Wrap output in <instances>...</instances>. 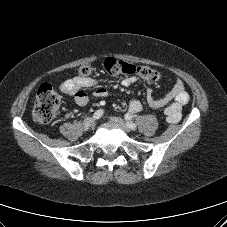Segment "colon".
<instances>
[{"instance_id": "5ec220e1", "label": "colon", "mask_w": 227, "mask_h": 227, "mask_svg": "<svg viewBox=\"0 0 227 227\" xmlns=\"http://www.w3.org/2000/svg\"><path fill=\"white\" fill-rule=\"evenodd\" d=\"M105 71L112 76L118 75H137L149 82H157L161 75L158 71L147 65H136L116 58H107L104 61ZM93 72L91 65H83L78 69L79 77L86 78ZM61 104V96L49 84H43L37 91L33 118L40 124H47L54 120L58 114Z\"/></svg>"}]
</instances>
